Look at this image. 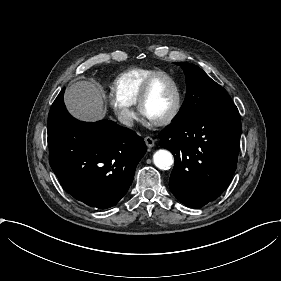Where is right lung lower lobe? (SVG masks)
Segmentation results:
<instances>
[{
  "mask_svg": "<svg viewBox=\"0 0 281 281\" xmlns=\"http://www.w3.org/2000/svg\"><path fill=\"white\" fill-rule=\"evenodd\" d=\"M48 117L49 162L64 190L90 207L107 209L128 191L145 142L110 120L82 122L65 108L63 93Z\"/></svg>",
  "mask_w": 281,
  "mask_h": 281,
  "instance_id": "1",
  "label": "right lung lower lobe"
}]
</instances>
